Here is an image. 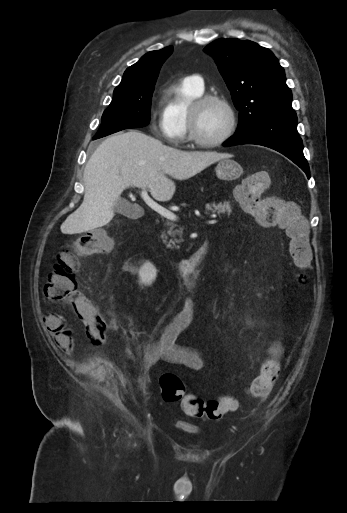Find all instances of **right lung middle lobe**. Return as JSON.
I'll return each instance as SVG.
<instances>
[{"mask_svg": "<svg viewBox=\"0 0 347 513\" xmlns=\"http://www.w3.org/2000/svg\"><path fill=\"white\" fill-rule=\"evenodd\" d=\"M155 83L144 87L117 88L102 115V124L94 139L123 129L144 127L150 121V108Z\"/></svg>", "mask_w": 347, "mask_h": 513, "instance_id": "obj_1", "label": "right lung middle lobe"}]
</instances>
